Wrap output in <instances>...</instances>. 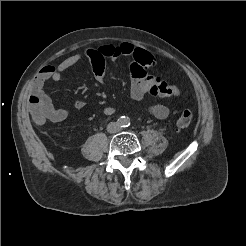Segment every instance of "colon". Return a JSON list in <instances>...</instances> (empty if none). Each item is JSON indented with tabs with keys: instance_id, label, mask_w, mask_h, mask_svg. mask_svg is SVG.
<instances>
[{
	"instance_id": "obj_1",
	"label": "colon",
	"mask_w": 246,
	"mask_h": 246,
	"mask_svg": "<svg viewBox=\"0 0 246 246\" xmlns=\"http://www.w3.org/2000/svg\"><path fill=\"white\" fill-rule=\"evenodd\" d=\"M132 61L140 71H146L156 64L155 57L150 52L141 48H135L132 54ZM181 93V89L177 86L159 79L149 89V94L157 97L179 96ZM29 105L34 121L37 124L45 123L50 113L49 104L41 96L32 95L29 99ZM192 119V112L190 110H184L177 119V126L180 128L188 127Z\"/></svg>"
}]
</instances>
